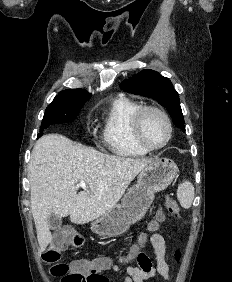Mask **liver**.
I'll return each mask as SVG.
<instances>
[{
    "instance_id": "6515ba94",
    "label": "liver",
    "mask_w": 232,
    "mask_h": 282,
    "mask_svg": "<svg viewBox=\"0 0 232 282\" xmlns=\"http://www.w3.org/2000/svg\"><path fill=\"white\" fill-rule=\"evenodd\" d=\"M151 161L103 154L56 133L42 136L28 166L31 211L41 252L52 240L50 215L69 216L75 224L97 219L118 203ZM79 182H85L89 190L77 194Z\"/></svg>"
}]
</instances>
